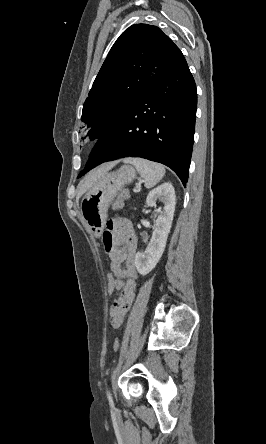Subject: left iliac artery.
Masks as SVG:
<instances>
[{
	"mask_svg": "<svg viewBox=\"0 0 266 444\" xmlns=\"http://www.w3.org/2000/svg\"><path fill=\"white\" fill-rule=\"evenodd\" d=\"M107 398H108L109 403H112V402H113V400H112V395H111V393H110L109 390L107 391Z\"/></svg>",
	"mask_w": 266,
	"mask_h": 444,
	"instance_id": "left-iliac-artery-1",
	"label": "left iliac artery"
}]
</instances>
